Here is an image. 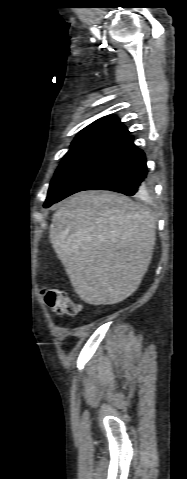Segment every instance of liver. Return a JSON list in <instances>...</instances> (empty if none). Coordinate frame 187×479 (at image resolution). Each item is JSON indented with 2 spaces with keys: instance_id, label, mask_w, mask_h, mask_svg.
I'll use <instances>...</instances> for the list:
<instances>
[{
  "instance_id": "1",
  "label": "liver",
  "mask_w": 187,
  "mask_h": 479,
  "mask_svg": "<svg viewBox=\"0 0 187 479\" xmlns=\"http://www.w3.org/2000/svg\"><path fill=\"white\" fill-rule=\"evenodd\" d=\"M154 216L128 197L85 191L59 204L50 241L78 296L91 305L122 302L152 259Z\"/></svg>"
}]
</instances>
